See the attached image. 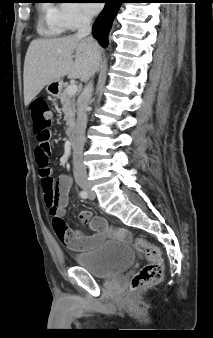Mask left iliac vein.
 I'll use <instances>...</instances> for the list:
<instances>
[{"instance_id":"obj_1","label":"left iliac vein","mask_w":213,"mask_h":338,"mask_svg":"<svg viewBox=\"0 0 213 338\" xmlns=\"http://www.w3.org/2000/svg\"><path fill=\"white\" fill-rule=\"evenodd\" d=\"M96 195L93 191H91L90 189H88V198L89 199H95Z\"/></svg>"}]
</instances>
